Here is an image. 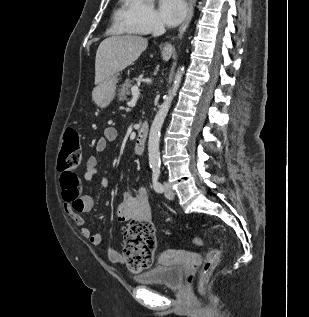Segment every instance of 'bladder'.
<instances>
[{
	"mask_svg": "<svg viewBox=\"0 0 309 317\" xmlns=\"http://www.w3.org/2000/svg\"><path fill=\"white\" fill-rule=\"evenodd\" d=\"M136 282L144 285H160L177 289L183 283V270L179 264L157 265L136 276Z\"/></svg>",
	"mask_w": 309,
	"mask_h": 317,
	"instance_id": "1",
	"label": "bladder"
}]
</instances>
